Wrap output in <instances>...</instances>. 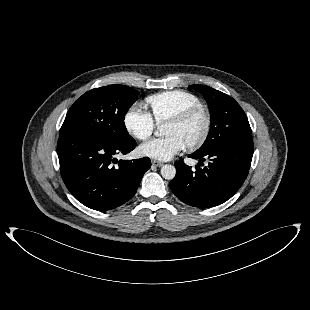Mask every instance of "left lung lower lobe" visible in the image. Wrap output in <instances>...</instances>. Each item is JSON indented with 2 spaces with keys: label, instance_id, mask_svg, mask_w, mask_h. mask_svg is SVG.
I'll return each instance as SVG.
<instances>
[{
  "label": "left lung lower lobe",
  "instance_id": "left-lung-lower-lobe-1",
  "mask_svg": "<svg viewBox=\"0 0 310 310\" xmlns=\"http://www.w3.org/2000/svg\"><path fill=\"white\" fill-rule=\"evenodd\" d=\"M252 139L224 144L189 157L198 159L196 171L183 161L175 163L176 176L170 181L172 192L184 203L200 208L220 205L231 198L245 181L253 156ZM208 159V166L200 168Z\"/></svg>",
  "mask_w": 310,
  "mask_h": 310
}]
</instances>
